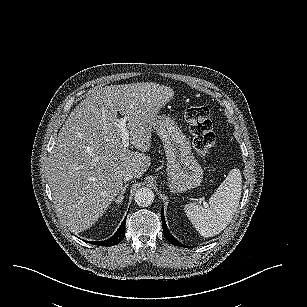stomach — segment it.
I'll use <instances>...</instances> for the list:
<instances>
[{
  "mask_svg": "<svg viewBox=\"0 0 307 307\" xmlns=\"http://www.w3.org/2000/svg\"><path fill=\"white\" fill-rule=\"evenodd\" d=\"M153 129L163 143L171 191H184L200 185L203 168L191 153L190 140L169 115L157 114Z\"/></svg>",
  "mask_w": 307,
  "mask_h": 307,
  "instance_id": "stomach-1",
  "label": "stomach"
}]
</instances>
